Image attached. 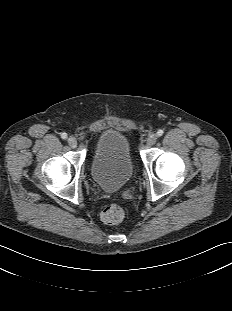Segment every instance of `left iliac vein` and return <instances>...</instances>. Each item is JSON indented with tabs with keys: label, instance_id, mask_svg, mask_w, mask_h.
<instances>
[{
	"label": "left iliac vein",
	"instance_id": "4c4485c4",
	"mask_svg": "<svg viewBox=\"0 0 232 311\" xmlns=\"http://www.w3.org/2000/svg\"><path fill=\"white\" fill-rule=\"evenodd\" d=\"M157 141L156 134H150L147 138V146L151 147L153 146Z\"/></svg>",
	"mask_w": 232,
	"mask_h": 311
}]
</instances>
